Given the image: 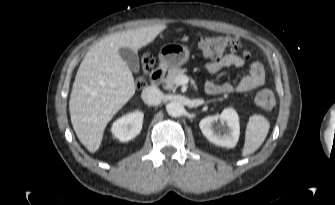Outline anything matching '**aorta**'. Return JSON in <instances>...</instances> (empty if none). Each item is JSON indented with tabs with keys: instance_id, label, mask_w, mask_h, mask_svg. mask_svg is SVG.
I'll use <instances>...</instances> for the list:
<instances>
[{
	"instance_id": "1",
	"label": "aorta",
	"mask_w": 335,
	"mask_h": 205,
	"mask_svg": "<svg viewBox=\"0 0 335 205\" xmlns=\"http://www.w3.org/2000/svg\"><path fill=\"white\" fill-rule=\"evenodd\" d=\"M167 113L172 117H180L184 113V107L180 102L173 101L166 106Z\"/></svg>"
}]
</instances>
